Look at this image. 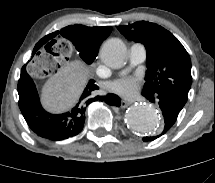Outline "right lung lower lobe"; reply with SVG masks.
Segmentation results:
<instances>
[{
    "label": "right lung lower lobe",
    "instance_id": "obj_1",
    "mask_svg": "<svg viewBox=\"0 0 215 183\" xmlns=\"http://www.w3.org/2000/svg\"><path fill=\"white\" fill-rule=\"evenodd\" d=\"M99 87L89 80L75 107L63 114L46 112L40 104L35 84L22 67L18 82L19 107L29 127L40 137L57 141L77 135L84 126L87 106L94 101H102L112 106H120L121 100L115 94L94 96Z\"/></svg>",
    "mask_w": 215,
    "mask_h": 183
}]
</instances>
